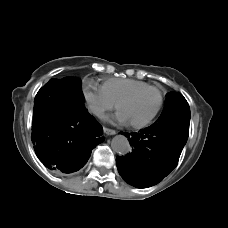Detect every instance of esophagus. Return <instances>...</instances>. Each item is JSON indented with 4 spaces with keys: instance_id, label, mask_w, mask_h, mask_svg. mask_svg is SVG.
<instances>
[{
    "instance_id": "1",
    "label": "esophagus",
    "mask_w": 228,
    "mask_h": 228,
    "mask_svg": "<svg viewBox=\"0 0 228 228\" xmlns=\"http://www.w3.org/2000/svg\"><path fill=\"white\" fill-rule=\"evenodd\" d=\"M103 130H104V133L106 135H114V134H116V131L113 130V129H109V128L104 127Z\"/></svg>"
}]
</instances>
